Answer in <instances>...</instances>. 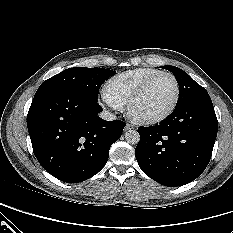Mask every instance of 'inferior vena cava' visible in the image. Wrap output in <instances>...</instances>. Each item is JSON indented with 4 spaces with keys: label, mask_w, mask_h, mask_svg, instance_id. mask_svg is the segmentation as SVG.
<instances>
[{
    "label": "inferior vena cava",
    "mask_w": 233,
    "mask_h": 233,
    "mask_svg": "<svg viewBox=\"0 0 233 233\" xmlns=\"http://www.w3.org/2000/svg\"><path fill=\"white\" fill-rule=\"evenodd\" d=\"M99 116L104 119V120H108V121H112L116 119V116L109 112V111H102Z\"/></svg>",
    "instance_id": "602c4592"
}]
</instances>
